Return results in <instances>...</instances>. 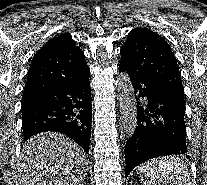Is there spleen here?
Wrapping results in <instances>:
<instances>
[{
	"mask_svg": "<svg viewBox=\"0 0 207 185\" xmlns=\"http://www.w3.org/2000/svg\"><path fill=\"white\" fill-rule=\"evenodd\" d=\"M164 158H176V153H164ZM137 177L145 179L149 185H189L190 170L184 159H150L133 166Z\"/></svg>",
	"mask_w": 207,
	"mask_h": 185,
	"instance_id": "spleen-1",
	"label": "spleen"
}]
</instances>
